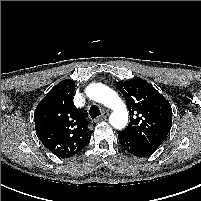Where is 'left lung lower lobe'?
<instances>
[{
    "instance_id": "0a47b994",
    "label": "left lung lower lobe",
    "mask_w": 201,
    "mask_h": 201,
    "mask_svg": "<svg viewBox=\"0 0 201 201\" xmlns=\"http://www.w3.org/2000/svg\"><path fill=\"white\" fill-rule=\"evenodd\" d=\"M118 139L125 150L137 157H147L155 152L122 131H118Z\"/></svg>"
}]
</instances>
